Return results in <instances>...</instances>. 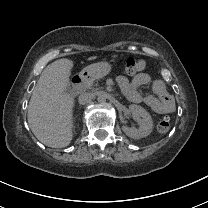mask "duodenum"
Wrapping results in <instances>:
<instances>
[{
    "label": "duodenum",
    "instance_id": "410a0bca",
    "mask_svg": "<svg viewBox=\"0 0 208 208\" xmlns=\"http://www.w3.org/2000/svg\"><path fill=\"white\" fill-rule=\"evenodd\" d=\"M87 82V78L84 76H75L72 80V88L71 91L73 94L80 93L85 87Z\"/></svg>",
    "mask_w": 208,
    "mask_h": 208
}]
</instances>
